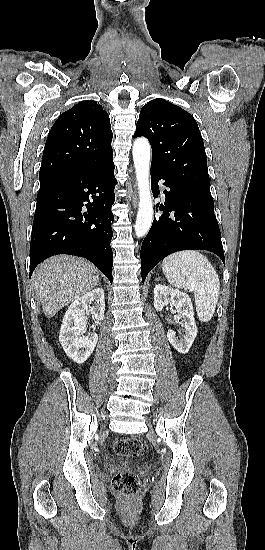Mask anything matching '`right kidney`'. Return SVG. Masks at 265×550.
Returning a JSON list of instances; mask_svg holds the SVG:
<instances>
[{
  "instance_id": "ca27d5eb",
  "label": "right kidney",
  "mask_w": 265,
  "mask_h": 550,
  "mask_svg": "<svg viewBox=\"0 0 265 550\" xmlns=\"http://www.w3.org/2000/svg\"><path fill=\"white\" fill-rule=\"evenodd\" d=\"M93 303V306H90ZM90 311L94 320L104 318V290L96 288L77 298L66 311L59 334V341L67 354L77 364H83L94 351L98 335L93 332L82 337L86 331V312Z\"/></svg>"
}]
</instances>
